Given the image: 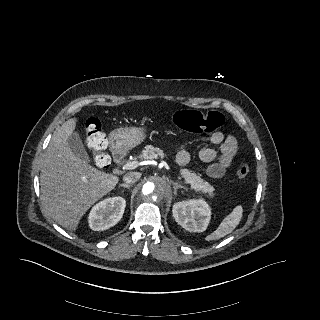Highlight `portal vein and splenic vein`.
I'll list each match as a JSON object with an SVG mask.
<instances>
[{
    "instance_id": "portal-vein-and-splenic-vein-1",
    "label": "portal vein and splenic vein",
    "mask_w": 320,
    "mask_h": 320,
    "mask_svg": "<svg viewBox=\"0 0 320 320\" xmlns=\"http://www.w3.org/2000/svg\"><path fill=\"white\" fill-rule=\"evenodd\" d=\"M138 166V164L136 162H127L125 163L122 168L124 170H132L135 169ZM162 166H164L165 168L169 169V166L166 162L162 161Z\"/></svg>"
}]
</instances>
